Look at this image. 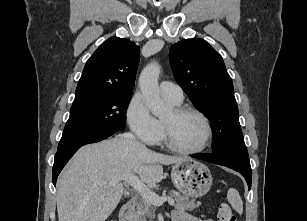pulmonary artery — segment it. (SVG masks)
<instances>
[{
    "mask_svg": "<svg viewBox=\"0 0 307 221\" xmlns=\"http://www.w3.org/2000/svg\"><path fill=\"white\" fill-rule=\"evenodd\" d=\"M160 93L173 103H181L183 100V91L181 87L170 81H162L159 85Z\"/></svg>",
    "mask_w": 307,
    "mask_h": 221,
    "instance_id": "obj_1",
    "label": "pulmonary artery"
}]
</instances>
